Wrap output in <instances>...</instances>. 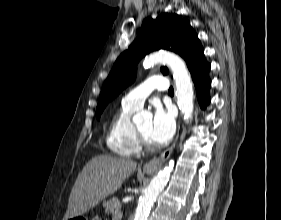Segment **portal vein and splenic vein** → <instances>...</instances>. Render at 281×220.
<instances>
[{"mask_svg": "<svg viewBox=\"0 0 281 220\" xmlns=\"http://www.w3.org/2000/svg\"><path fill=\"white\" fill-rule=\"evenodd\" d=\"M115 216H116V217H121V216H122V213L117 210V211H115Z\"/></svg>", "mask_w": 281, "mask_h": 220, "instance_id": "1", "label": "portal vein and splenic vein"}]
</instances>
